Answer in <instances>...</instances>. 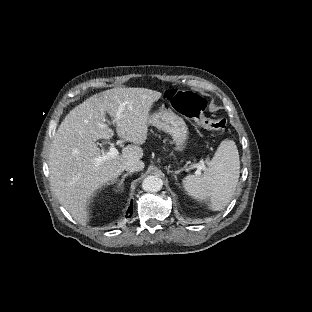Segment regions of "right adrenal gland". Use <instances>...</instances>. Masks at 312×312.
I'll return each instance as SVG.
<instances>
[{
    "label": "right adrenal gland",
    "instance_id": "1",
    "mask_svg": "<svg viewBox=\"0 0 312 312\" xmlns=\"http://www.w3.org/2000/svg\"><path fill=\"white\" fill-rule=\"evenodd\" d=\"M129 175H131V174H130V173L124 174V176L122 177L121 181L119 182V186L116 188L115 192L119 191V188H122V185H123V183H124V181H125V178H126L127 176H129Z\"/></svg>",
    "mask_w": 312,
    "mask_h": 312
}]
</instances>
